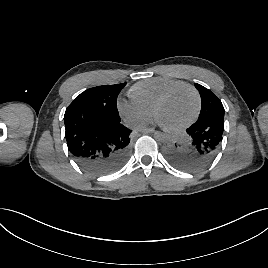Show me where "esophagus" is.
<instances>
[{"mask_svg": "<svg viewBox=\"0 0 268 268\" xmlns=\"http://www.w3.org/2000/svg\"><path fill=\"white\" fill-rule=\"evenodd\" d=\"M140 131L142 132V133H154V132H156L153 128H142V129H140Z\"/></svg>", "mask_w": 268, "mask_h": 268, "instance_id": "34e87169", "label": "esophagus"}]
</instances>
